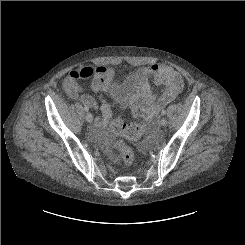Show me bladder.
I'll return each instance as SVG.
<instances>
[{
  "label": "bladder",
  "mask_w": 245,
  "mask_h": 245,
  "mask_svg": "<svg viewBox=\"0 0 245 245\" xmlns=\"http://www.w3.org/2000/svg\"><path fill=\"white\" fill-rule=\"evenodd\" d=\"M136 85L132 72L128 69L125 70L119 80V83L112 87L111 96L113 104L116 107L124 109L129 108L130 96L135 91Z\"/></svg>",
  "instance_id": "bladder-1"
}]
</instances>
